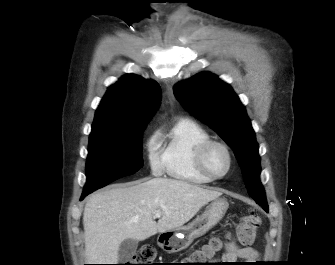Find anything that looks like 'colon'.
I'll list each match as a JSON object with an SVG mask.
<instances>
[{"instance_id": "obj_1", "label": "colon", "mask_w": 335, "mask_h": 265, "mask_svg": "<svg viewBox=\"0 0 335 265\" xmlns=\"http://www.w3.org/2000/svg\"><path fill=\"white\" fill-rule=\"evenodd\" d=\"M260 225L261 219L256 213L249 212L246 214L236 227V239L238 242L246 246L252 244L258 234ZM223 245L224 241L221 238L214 237L210 239L207 244L190 255L188 260L194 263L189 264H209L207 262L222 249ZM155 258V248L150 245H144L137 251L132 261L125 265H153Z\"/></svg>"}]
</instances>
